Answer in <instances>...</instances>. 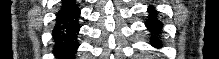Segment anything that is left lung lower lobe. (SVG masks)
<instances>
[{
	"instance_id": "0a47b994",
	"label": "left lung lower lobe",
	"mask_w": 219,
	"mask_h": 59,
	"mask_svg": "<svg viewBox=\"0 0 219 59\" xmlns=\"http://www.w3.org/2000/svg\"><path fill=\"white\" fill-rule=\"evenodd\" d=\"M149 19L146 22L147 28L151 31V33L155 34V36L152 38L151 44L154 45V47H161V43L158 40V35L161 31L162 25L160 21L156 19V12L154 11V8L149 9Z\"/></svg>"
}]
</instances>
